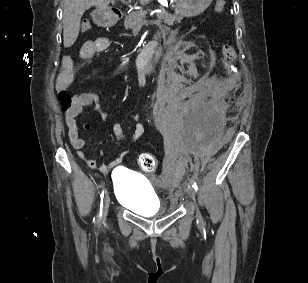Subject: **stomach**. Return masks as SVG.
I'll return each mask as SVG.
<instances>
[{"instance_id": "1", "label": "stomach", "mask_w": 308, "mask_h": 283, "mask_svg": "<svg viewBox=\"0 0 308 283\" xmlns=\"http://www.w3.org/2000/svg\"><path fill=\"white\" fill-rule=\"evenodd\" d=\"M175 12L182 17H193L204 12L212 0H173ZM100 25H112L114 21L105 13L100 12L98 16Z\"/></svg>"}]
</instances>
